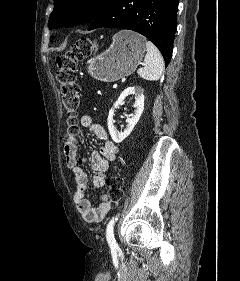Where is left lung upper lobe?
I'll list each match as a JSON object with an SVG mask.
<instances>
[{
    "instance_id": "5c2ea615",
    "label": "left lung upper lobe",
    "mask_w": 240,
    "mask_h": 281,
    "mask_svg": "<svg viewBox=\"0 0 240 281\" xmlns=\"http://www.w3.org/2000/svg\"><path fill=\"white\" fill-rule=\"evenodd\" d=\"M110 0H54L49 29L89 22L95 19Z\"/></svg>"
}]
</instances>
